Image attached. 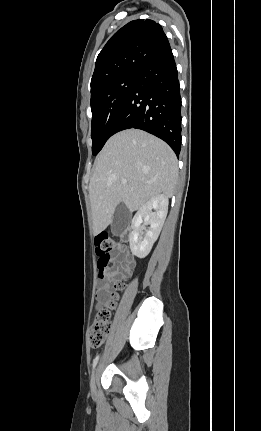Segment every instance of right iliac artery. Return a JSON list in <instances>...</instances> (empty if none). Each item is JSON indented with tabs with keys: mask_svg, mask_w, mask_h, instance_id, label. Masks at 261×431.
Segmentation results:
<instances>
[{
	"mask_svg": "<svg viewBox=\"0 0 261 431\" xmlns=\"http://www.w3.org/2000/svg\"><path fill=\"white\" fill-rule=\"evenodd\" d=\"M98 359H99V356H96V358L93 360V363H92L93 369L95 368V366H96V364L98 362Z\"/></svg>",
	"mask_w": 261,
	"mask_h": 431,
	"instance_id": "1",
	"label": "right iliac artery"
}]
</instances>
